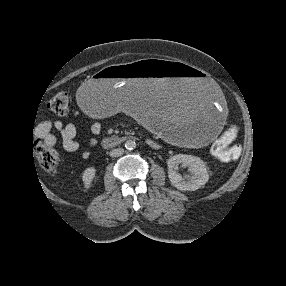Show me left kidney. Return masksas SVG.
<instances>
[{"instance_id": "left-kidney-1", "label": "left kidney", "mask_w": 286, "mask_h": 286, "mask_svg": "<svg viewBox=\"0 0 286 286\" xmlns=\"http://www.w3.org/2000/svg\"><path fill=\"white\" fill-rule=\"evenodd\" d=\"M179 164L188 166L192 176L185 180L175 171ZM168 177L171 184L181 191H195L205 185L209 175L204 162L193 155L177 154L167 160Z\"/></svg>"}]
</instances>
